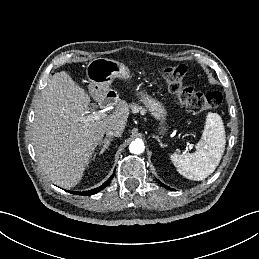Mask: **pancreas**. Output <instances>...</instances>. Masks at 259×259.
Listing matches in <instances>:
<instances>
[{"label":"pancreas","instance_id":"obj_1","mask_svg":"<svg viewBox=\"0 0 259 259\" xmlns=\"http://www.w3.org/2000/svg\"><path fill=\"white\" fill-rule=\"evenodd\" d=\"M132 107V111L133 112H141V113H145V109H143L142 107H140V106H137V105H132L131 106Z\"/></svg>","mask_w":259,"mask_h":259}]
</instances>
